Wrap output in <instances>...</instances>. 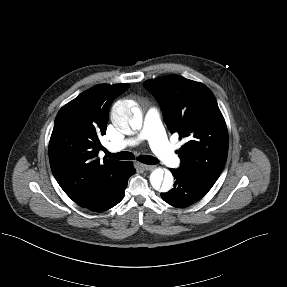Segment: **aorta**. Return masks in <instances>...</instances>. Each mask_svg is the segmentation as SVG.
I'll use <instances>...</instances> for the list:
<instances>
[{
    "label": "aorta",
    "mask_w": 287,
    "mask_h": 287,
    "mask_svg": "<svg viewBox=\"0 0 287 287\" xmlns=\"http://www.w3.org/2000/svg\"><path fill=\"white\" fill-rule=\"evenodd\" d=\"M111 120L114 126L127 132L129 129L140 130L142 127V114L138 107L130 106L126 102L116 103L111 112ZM173 176L167 173L164 177V170L157 168L150 175V183L157 191L168 192L173 186Z\"/></svg>",
    "instance_id": "obj_1"
}]
</instances>
